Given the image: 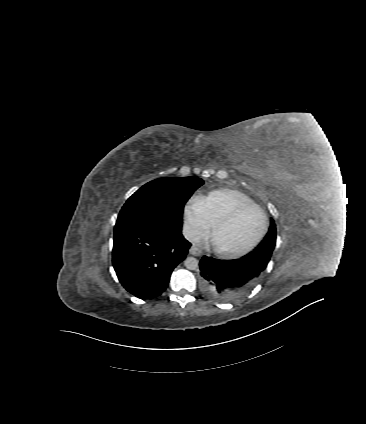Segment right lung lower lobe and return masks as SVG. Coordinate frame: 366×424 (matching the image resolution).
Segmentation results:
<instances>
[{
  "mask_svg": "<svg viewBox=\"0 0 366 424\" xmlns=\"http://www.w3.org/2000/svg\"><path fill=\"white\" fill-rule=\"evenodd\" d=\"M190 246L181 231L169 232L157 224L116 225L112 262L127 291L150 299L167 288L173 269Z\"/></svg>",
  "mask_w": 366,
  "mask_h": 424,
  "instance_id": "1",
  "label": "right lung lower lobe"
}]
</instances>
